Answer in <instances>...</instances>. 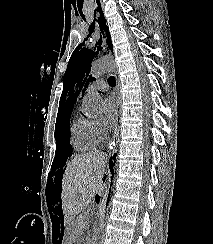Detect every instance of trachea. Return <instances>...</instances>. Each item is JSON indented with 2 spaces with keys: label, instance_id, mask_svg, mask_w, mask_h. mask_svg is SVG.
<instances>
[{
  "label": "trachea",
  "instance_id": "obj_1",
  "mask_svg": "<svg viewBox=\"0 0 213 244\" xmlns=\"http://www.w3.org/2000/svg\"><path fill=\"white\" fill-rule=\"evenodd\" d=\"M108 84H109L111 87H114V86L116 85L115 77L110 76V77L108 78Z\"/></svg>",
  "mask_w": 213,
  "mask_h": 244
}]
</instances>
